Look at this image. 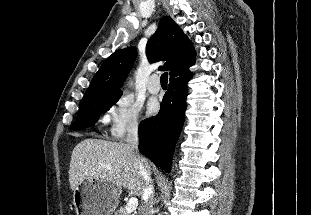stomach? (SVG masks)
<instances>
[{
    "label": "stomach",
    "instance_id": "stomach-1",
    "mask_svg": "<svg viewBox=\"0 0 311 215\" xmlns=\"http://www.w3.org/2000/svg\"><path fill=\"white\" fill-rule=\"evenodd\" d=\"M121 189L103 180L85 179L73 194L78 215H111L118 204Z\"/></svg>",
    "mask_w": 311,
    "mask_h": 215
}]
</instances>
